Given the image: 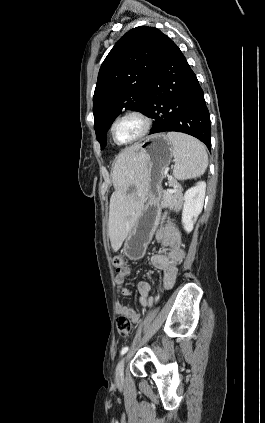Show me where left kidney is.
<instances>
[{
	"mask_svg": "<svg viewBox=\"0 0 265 423\" xmlns=\"http://www.w3.org/2000/svg\"><path fill=\"white\" fill-rule=\"evenodd\" d=\"M205 192L206 183L200 181L195 186L189 188L184 194L182 224L188 233L193 230V226L202 212Z\"/></svg>",
	"mask_w": 265,
	"mask_h": 423,
	"instance_id": "left-kidney-1",
	"label": "left kidney"
}]
</instances>
